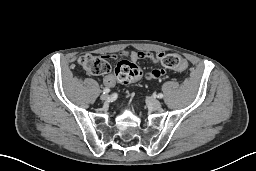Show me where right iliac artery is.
Masks as SVG:
<instances>
[{"label": "right iliac artery", "instance_id": "82829eb1", "mask_svg": "<svg viewBox=\"0 0 256 171\" xmlns=\"http://www.w3.org/2000/svg\"><path fill=\"white\" fill-rule=\"evenodd\" d=\"M110 92V89L109 88H105L104 90H103V94H106V93H109Z\"/></svg>", "mask_w": 256, "mask_h": 171}]
</instances>
